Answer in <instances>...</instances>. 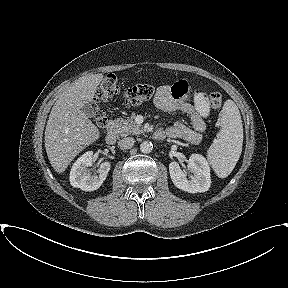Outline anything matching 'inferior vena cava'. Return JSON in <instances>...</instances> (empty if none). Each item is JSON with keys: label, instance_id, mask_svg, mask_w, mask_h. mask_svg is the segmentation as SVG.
<instances>
[{"label": "inferior vena cava", "instance_id": "1", "mask_svg": "<svg viewBox=\"0 0 288 288\" xmlns=\"http://www.w3.org/2000/svg\"><path fill=\"white\" fill-rule=\"evenodd\" d=\"M135 140L133 137H126L118 141V146L121 149H129L133 147Z\"/></svg>", "mask_w": 288, "mask_h": 288}]
</instances>
